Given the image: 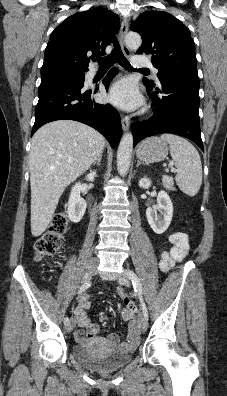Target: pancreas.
Segmentation results:
<instances>
[{"instance_id": "cf45deb5", "label": "pancreas", "mask_w": 227, "mask_h": 396, "mask_svg": "<svg viewBox=\"0 0 227 396\" xmlns=\"http://www.w3.org/2000/svg\"><path fill=\"white\" fill-rule=\"evenodd\" d=\"M163 186L168 190H175L174 188V181L172 177H164L162 179Z\"/></svg>"}]
</instances>
